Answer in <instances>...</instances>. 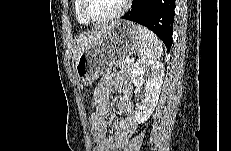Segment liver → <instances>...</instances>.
I'll use <instances>...</instances> for the list:
<instances>
[{"label":"liver","mask_w":231,"mask_h":151,"mask_svg":"<svg viewBox=\"0 0 231 151\" xmlns=\"http://www.w3.org/2000/svg\"><path fill=\"white\" fill-rule=\"evenodd\" d=\"M111 24H103L89 32L82 33L76 38L75 49L73 52V59H76L79 54L85 50L97 45L100 40L105 36V34L110 29Z\"/></svg>","instance_id":"liver-1"}]
</instances>
